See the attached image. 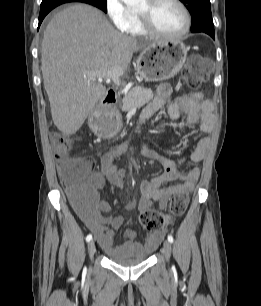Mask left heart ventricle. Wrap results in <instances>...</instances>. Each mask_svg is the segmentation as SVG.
Here are the masks:
<instances>
[{
  "mask_svg": "<svg viewBox=\"0 0 261 306\" xmlns=\"http://www.w3.org/2000/svg\"><path fill=\"white\" fill-rule=\"evenodd\" d=\"M143 0L137 9H144ZM151 18L155 27L167 34L178 33L184 26V15L181 9L171 0H160L151 9Z\"/></svg>",
  "mask_w": 261,
  "mask_h": 306,
  "instance_id": "obj_1",
  "label": "left heart ventricle"
}]
</instances>
